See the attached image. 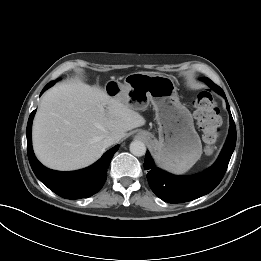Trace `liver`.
Returning a JSON list of instances; mask_svg holds the SVG:
<instances>
[{"label": "liver", "mask_w": 261, "mask_h": 261, "mask_svg": "<svg viewBox=\"0 0 261 261\" xmlns=\"http://www.w3.org/2000/svg\"><path fill=\"white\" fill-rule=\"evenodd\" d=\"M145 123L138 112L99 87L81 81L62 83L41 99L33 122V149L51 169L76 170L104 153L107 136L117 143Z\"/></svg>", "instance_id": "1"}]
</instances>
